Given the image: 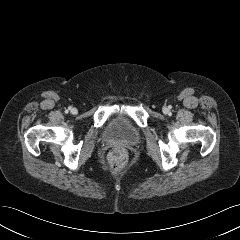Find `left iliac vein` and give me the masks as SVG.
I'll list each match as a JSON object with an SVG mask.
<instances>
[{
  "instance_id": "left-iliac-vein-1",
  "label": "left iliac vein",
  "mask_w": 240,
  "mask_h": 240,
  "mask_svg": "<svg viewBox=\"0 0 240 240\" xmlns=\"http://www.w3.org/2000/svg\"><path fill=\"white\" fill-rule=\"evenodd\" d=\"M163 112H164V113H167V112H168L167 108H164V109H163Z\"/></svg>"
}]
</instances>
